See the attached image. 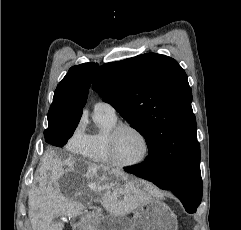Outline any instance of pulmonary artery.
<instances>
[{"instance_id": "e3ab8cb5", "label": "pulmonary artery", "mask_w": 241, "mask_h": 230, "mask_svg": "<svg viewBox=\"0 0 241 230\" xmlns=\"http://www.w3.org/2000/svg\"><path fill=\"white\" fill-rule=\"evenodd\" d=\"M94 112H103L116 115V111L112 105L107 102L99 101L94 105Z\"/></svg>"}]
</instances>
